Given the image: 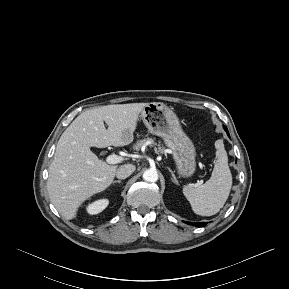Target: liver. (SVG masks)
<instances>
[{"label": "liver", "mask_w": 289, "mask_h": 289, "mask_svg": "<svg viewBox=\"0 0 289 289\" xmlns=\"http://www.w3.org/2000/svg\"><path fill=\"white\" fill-rule=\"evenodd\" d=\"M147 104H117L87 110L63 132L47 180L50 200L62 217L74 219L85 200L110 186L118 166L103 162L90 148L132 143L138 118Z\"/></svg>", "instance_id": "liver-1"}]
</instances>
